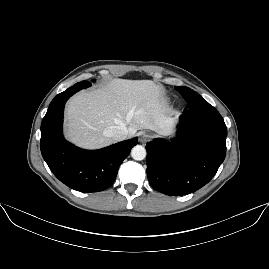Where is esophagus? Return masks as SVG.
<instances>
[{"instance_id":"obj_1","label":"esophagus","mask_w":269,"mask_h":269,"mask_svg":"<svg viewBox=\"0 0 269 269\" xmlns=\"http://www.w3.org/2000/svg\"><path fill=\"white\" fill-rule=\"evenodd\" d=\"M152 138V135L149 132H142L139 135V142L140 143H146L147 141H149Z\"/></svg>"}]
</instances>
